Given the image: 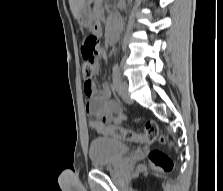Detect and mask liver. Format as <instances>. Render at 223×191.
Instances as JSON below:
<instances>
[{
    "label": "liver",
    "instance_id": "obj_1",
    "mask_svg": "<svg viewBox=\"0 0 223 191\" xmlns=\"http://www.w3.org/2000/svg\"><path fill=\"white\" fill-rule=\"evenodd\" d=\"M86 0H69L70 9L74 18L78 19Z\"/></svg>",
    "mask_w": 223,
    "mask_h": 191
}]
</instances>
